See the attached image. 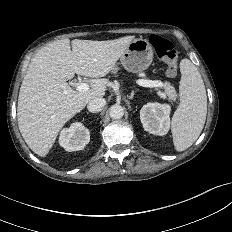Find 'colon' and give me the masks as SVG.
Masks as SVG:
<instances>
[{
	"instance_id": "obj_1",
	"label": "colon",
	"mask_w": 232,
	"mask_h": 232,
	"mask_svg": "<svg viewBox=\"0 0 232 232\" xmlns=\"http://www.w3.org/2000/svg\"><path fill=\"white\" fill-rule=\"evenodd\" d=\"M150 43L157 56L167 64V74L174 77L178 72V54L174 45L160 35H152Z\"/></svg>"
}]
</instances>
